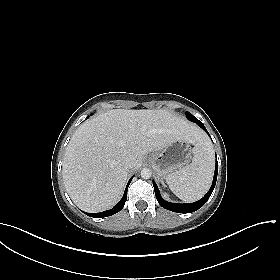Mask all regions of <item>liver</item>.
I'll return each mask as SVG.
<instances>
[{
    "label": "liver",
    "instance_id": "obj_1",
    "mask_svg": "<svg viewBox=\"0 0 280 280\" xmlns=\"http://www.w3.org/2000/svg\"><path fill=\"white\" fill-rule=\"evenodd\" d=\"M197 145L203 132L167 110L114 109L78 127L63 159L64 185L76 205L101 212L120 199L129 170L141 167L149 152L160 151L175 140ZM135 157L127 169L124 158Z\"/></svg>",
    "mask_w": 280,
    "mask_h": 280
}]
</instances>
